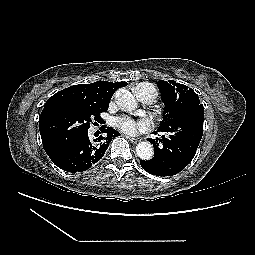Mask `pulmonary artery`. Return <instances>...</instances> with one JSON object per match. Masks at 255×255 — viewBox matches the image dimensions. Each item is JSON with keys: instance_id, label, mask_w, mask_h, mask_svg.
<instances>
[{"instance_id": "1", "label": "pulmonary artery", "mask_w": 255, "mask_h": 255, "mask_svg": "<svg viewBox=\"0 0 255 255\" xmlns=\"http://www.w3.org/2000/svg\"><path fill=\"white\" fill-rule=\"evenodd\" d=\"M136 97L144 103H153L156 101V89L148 83H140L134 88Z\"/></svg>"}]
</instances>
